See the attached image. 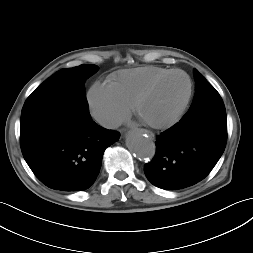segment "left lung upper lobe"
Here are the masks:
<instances>
[{
  "label": "left lung upper lobe",
  "instance_id": "5c2ea615",
  "mask_svg": "<svg viewBox=\"0 0 253 253\" xmlns=\"http://www.w3.org/2000/svg\"><path fill=\"white\" fill-rule=\"evenodd\" d=\"M196 93L190 109L182 119H197L215 113H226L219 93L194 69Z\"/></svg>",
  "mask_w": 253,
  "mask_h": 253
}]
</instances>
